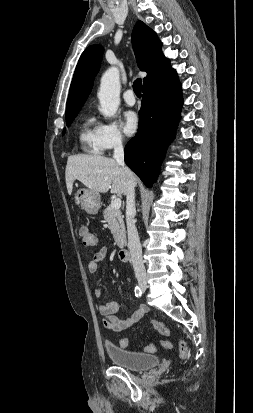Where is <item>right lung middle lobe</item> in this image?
I'll return each instance as SVG.
<instances>
[{
    "instance_id": "obj_1",
    "label": "right lung middle lobe",
    "mask_w": 253,
    "mask_h": 413,
    "mask_svg": "<svg viewBox=\"0 0 253 413\" xmlns=\"http://www.w3.org/2000/svg\"><path fill=\"white\" fill-rule=\"evenodd\" d=\"M76 115H77V114L66 117V126H67V127H69V126L71 125V123H72L73 120L75 119ZM64 133H65V129H64V131H63V134H64Z\"/></svg>"
}]
</instances>
